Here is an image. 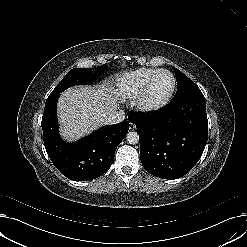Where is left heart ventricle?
I'll return each instance as SVG.
<instances>
[{"instance_id":"1","label":"left heart ventricle","mask_w":247,"mask_h":247,"mask_svg":"<svg viewBox=\"0 0 247 247\" xmlns=\"http://www.w3.org/2000/svg\"><path fill=\"white\" fill-rule=\"evenodd\" d=\"M172 85L171 77L166 73L159 74L151 86V95L162 97L168 93Z\"/></svg>"}]
</instances>
